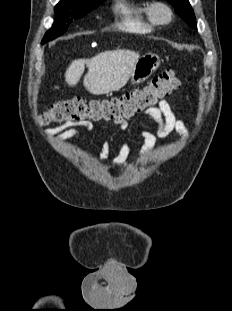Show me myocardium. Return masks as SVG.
Returning <instances> with one entry per match:
<instances>
[{"instance_id":"1","label":"myocardium","mask_w":232,"mask_h":311,"mask_svg":"<svg viewBox=\"0 0 232 311\" xmlns=\"http://www.w3.org/2000/svg\"><path fill=\"white\" fill-rule=\"evenodd\" d=\"M149 14L156 24L165 25L172 21L173 10L165 2H153L149 8Z\"/></svg>"}]
</instances>
